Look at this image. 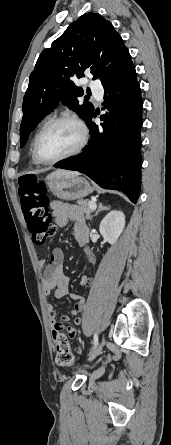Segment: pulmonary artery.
I'll use <instances>...</instances> for the list:
<instances>
[{
  "instance_id": "e3ab8cb5",
  "label": "pulmonary artery",
  "mask_w": 171,
  "mask_h": 445,
  "mask_svg": "<svg viewBox=\"0 0 171 445\" xmlns=\"http://www.w3.org/2000/svg\"><path fill=\"white\" fill-rule=\"evenodd\" d=\"M90 88H91L93 93H97V94H101L102 93L101 85L97 81H92L90 83Z\"/></svg>"
}]
</instances>
